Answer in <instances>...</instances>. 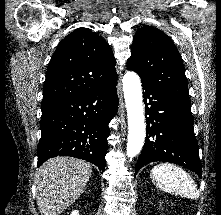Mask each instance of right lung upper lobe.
Masks as SVG:
<instances>
[{
    "label": "right lung upper lobe",
    "instance_id": "right-lung-upper-lobe-1",
    "mask_svg": "<svg viewBox=\"0 0 221 215\" xmlns=\"http://www.w3.org/2000/svg\"><path fill=\"white\" fill-rule=\"evenodd\" d=\"M115 64L107 42L88 28L76 29L60 42L49 63L42 109L117 78Z\"/></svg>",
    "mask_w": 221,
    "mask_h": 215
}]
</instances>
